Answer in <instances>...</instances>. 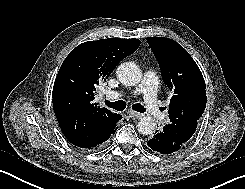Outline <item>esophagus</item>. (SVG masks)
Returning a JSON list of instances; mask_svg holds the SVG:
<instances>
[{"instance_id":"34e87169","label":"esophagus","mask_w":245,"mask_h":189,"mask_svg":"<svg viewBox=\"0 0 245 189\" xmlns=\"http://www.w3.org/2000/svg\"><path fill=\"white\" fill-rule=\"evenodd\" d=\"M127 113L129 114V116L132 119H137V118H139L142 115L141 113H138V112L133 111V110H128Z\"/></svg>"}]
</instances>
